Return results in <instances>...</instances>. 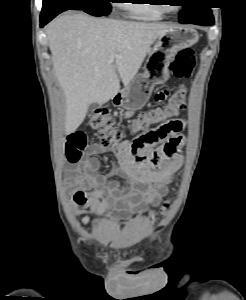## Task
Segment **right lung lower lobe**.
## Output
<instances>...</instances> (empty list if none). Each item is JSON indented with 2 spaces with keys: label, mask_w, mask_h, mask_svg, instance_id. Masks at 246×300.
<instances>
[{
  "label": "right lung lower lobe",
  "mask_w": 246,
  "mask_h": 300,
  "mask_svg": "<svg viewBox=\"0 0 246 300\" xmlns=\"http://www.w3.org/2000/svg\"><path fill=\"white\" fill-rule=\"evenodd\" d=\"M66 10H68V8H62V9L55 10L48 15H41V17H40L41 25L40 26L43 27L49 21H51L55 16H57L58 14H60L63 11H66Z\"/></svg>",
  "instance_id": "1"
}]
</instances>
